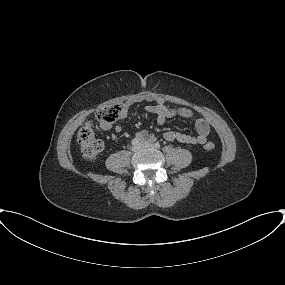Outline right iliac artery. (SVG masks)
<instances>
[{
  "instance_id": "1",
  "label": "right iliac artery",
  "mask_w": 285,
  "mask_h": 285,
  "mask_svg": "<svg viewBox=\"0 0 285 285\" xmlns=\"http://www.w3.org/2000/svg\"><path fill=\"white\" fill-rule=\"evenodd\" d=\"M139 142H140L139 139L134 138V139L131 141V144L134 146V145H137Z\"/></svg>"
}]
</instances>
